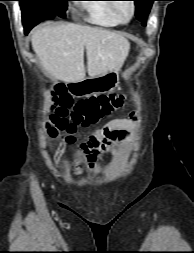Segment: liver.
Masks as SVG:
<instances>
[{"label": "liver", "mask_w": 194, "mask_h": 253, "mask_svg": "<svg viewBox=\"0 0 194 253\" xmlns=\"http://www.w3.org/2000/svg\"><path fill=\"white\" fill-rule=\"evenodd\" d=\"M31 43L43 69L67 83L85 79L84 49L90 77L119 70L130 49L129 41L118 33L73 23L38 26Z\"/></svg>", "instance_id": "obj_1"}]
</instances>
